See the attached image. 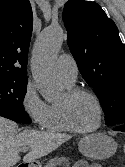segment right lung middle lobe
<instances>
[{"instance_id":"right-lung-middle-lobe-1","label":"right lung middle lobe","mask_w":125,"mask_h":167,"mask_svg":"<svg viewBox=\"0 0 125 167\" xmlns=\"http://www.w3.org/2000/svg\"><path fill=\"white\" fill-rule=\"evenodd\" d=\"M26 89L25 80L0 79V103L24 110L23 100Z\"/></svg>"}]
</instances>
